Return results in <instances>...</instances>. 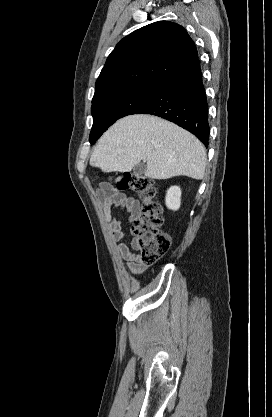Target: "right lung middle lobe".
<instances>
[{
	"mask_svg": "<svg viewBox=\"0 0 272 417\" xmlns=\"http://www.w3.org/2000/svg\"><path fill=\"white\" fill-rule=\"evenodd\" d=\"M159 87L160 85L130 87L92 101L93 126L89 137L90 143L94 144L116 120L133 114L155 94Z\"/></svg>",
	"mask_w": 272,
	"mask_h": 417,
	"instance_id": "right-lung-middle-lobe-1",
	"label": "right lung middle lobe"
}]
</instances>
